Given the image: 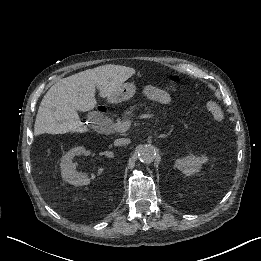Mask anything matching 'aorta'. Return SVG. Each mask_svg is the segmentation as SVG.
Segmentation results:
<instances>
[{
  "mask_svg": "<svg viewBox=\"0 0 261 261\" xmlns=\"http://www.w3.org/2000/svg\"><path fill=\"white\" fill-rule=\"evenodd\" d=\"M138 158L142 163H151L156 157V149L151 144H144L137 147Z\"/></svg>",
  "mask_w": 261,
  "mask_h": 261,
  "instance_id": "aorta-1",
  "label": "aorta"
}]
</instances>
